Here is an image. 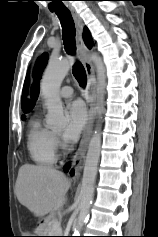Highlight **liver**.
Here are the masks:
<instances>
[{"instance_id":"liver-1","label":"liver","mask_w":158,"mask_h":237,"mask_svg":"<svg viewBox=\"0 0 158 237\" xmlns=\"http://www.w3.org/2000/svg\"><path fill=\"white\" fill-rule=\"evenodd\" d=\"M70 182L66 176L48 166L24 164L15 185L18 201L36 217L59 211L66 200Z\"/></svg>"}]
</instances>
